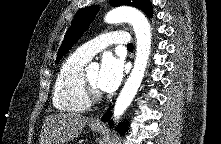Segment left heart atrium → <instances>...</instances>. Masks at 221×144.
Wrapping results in <instances>:
<instances>
[{
	"mask_svg": "<svg viewBox=\"0 0 221 144\" xmlns=\"http://www.w3.org/2000/svg\"><path fill=\"white\" fill-rule=\"evenodd\" d=\"M123 76V61L116 56L108 54L102 59L96 85L104 92H112L120 85Z\"/></svg>",
	"mask_w": 221,
	"mask_h": 144,
	"instance_id": "39dd6f15",
	"label": "left heart atrium"
}]
</instances>
